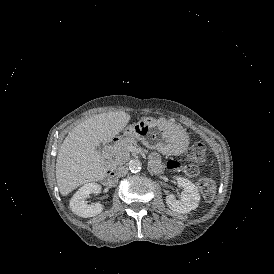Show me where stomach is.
<instances>
[{"mask_svg": "<svg viewBox=\"0 0 274 274\" xmlns=\"http://www.w3.org/2000/svg\"><path fill=\"white\" fill-rule=\"evenodd\" d=\"M178 127L165 119L144 117L137 123L126 126L123 135L141 142L147 148L157 149L164 155H178L188 145L186 135L177 134Z\"/></svg>", "mask_w": 274, "mask_h": 274, "instance_id": "stomach-1", "label": "stomach"}]
</instances>
